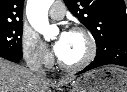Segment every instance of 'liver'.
I'll use <instances>...</instances> for the list:
<instances>
[{
  "label": "liver",
  "instance_id": "obj_1",
  "mask_svg": "<svg viewBox=\"0 0 127 92\" xmlns=\"http://www.w3.org/2000/svg\"><path fill=\"white\" fill-rule=\"evenodd\" d=\"M73 80L68 77L58 83L38 78L35 73L0 58V92H52L51 87H61Z\"/></svg>",
  "mask_w": 127,
  "mask_h": 92
}]
</instances>
